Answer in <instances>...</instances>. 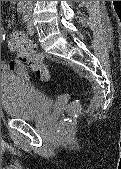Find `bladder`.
Returning a JSON list of instances; mask_svg holds the SVG:
<instances>
[{
	"mask_svg": "<svg viewBox=\"0 0 121 169\" xmlns=\"http://www.w3.org/2000/svg\"><path fill=\"white\" fill-rule=\"evenodd\" d=\"M1 104L6 115L27 121L43 118L53 107L48 95L15 74L1 76Z\"/></svg>",
	"mask_w": 121,
	"mask_h": 169,
	"instance_id": "bladder-1",
	"label": "bladder"
}]
</instances>
